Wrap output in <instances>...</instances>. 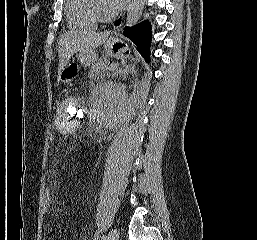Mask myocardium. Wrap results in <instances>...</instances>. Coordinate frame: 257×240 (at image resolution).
I'll use <instances>...</instances> for the list:
<instances>
[{
  "label": "myocardium",
  "mask_w": 257,
  "mask_h": 240,
  "mask_svg": "<svg viewBox=\"0 0 257 240\" xmlns=\"http://www.w3.org/2000/svg\"><path fill=\"white\" fill-rule=\"evenodd\" d=\"M93 9L96 11V13L100 16V14L104 13L106 11V5L102 0H90Z\"/></svg>",
  "instance_id": "1"
}]
</instances>
